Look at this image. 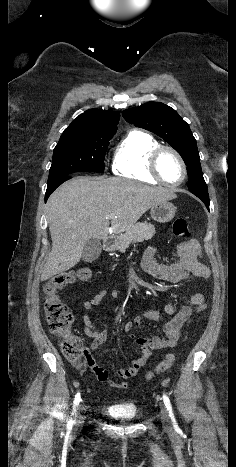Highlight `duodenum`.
I'll list each match as a JSON object with an SVG mask.
<instances>
[{"label":"duodenum","instance_id":"410a0bca","mask_svg":"<svg viewBox=\"0 0 236 467\" xmlns=\"http://www.w3.org/2000/svg\"><path fill=\"white\" fill-rule=\"evenodd\" d=\"M102 247L104 251H110L112 248V240L108 237L104 238L102 241Z\"/></svg>","mask_w":236,"mask_h":467}]
</instances>
